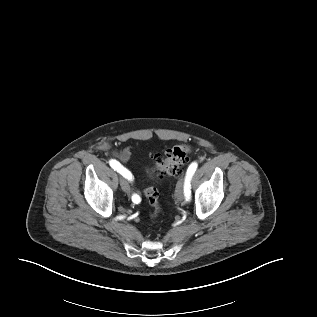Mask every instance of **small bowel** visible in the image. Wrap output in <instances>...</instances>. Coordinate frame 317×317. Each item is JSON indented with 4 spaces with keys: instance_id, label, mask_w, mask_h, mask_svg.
I'll return each instance as SVG.
<instances>
[{
    "instance_id": "obj_1",
    "label": "small bowel",
    "mask_w": 317,
    "mask_h": 317,
    "mask_svg": "<svg viewBox=\"0 0 317 317\" xmlns=\"http://www.w3.org/2000/svg\"><path fill=\"white\" fill-rule=\"evenodd\" d=\"M113 154L115 157H117L120 161L122 162H126L129 160L130 156H131V150L130 148H123L121 150H115L113 151ZM136 194V193H134ZM133 194V195H134ZM137 195V194H136Z\"/></svg>"
}]
</instances>
